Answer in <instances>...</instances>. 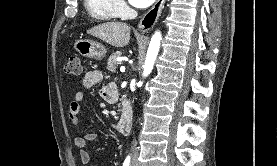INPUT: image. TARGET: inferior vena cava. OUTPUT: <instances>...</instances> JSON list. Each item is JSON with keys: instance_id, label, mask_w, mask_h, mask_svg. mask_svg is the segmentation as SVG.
<instances>
[{"instance_id": "inferior-vena-cava-1", "label": "inferior vena cava", "mask_w": 277, "mask_h": 166, "mask_svg": "<svg viewBox=\"0 0 277 166\" xmlns=\"http://www.w3.org/2000/svg\"><path fill=\"white\" fill-rule=\"evenodd\" d=\"M136 144H134V146L132 147V151H133V155H136V148H135Z\"/></svg>"}]
</instances>
